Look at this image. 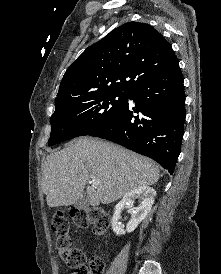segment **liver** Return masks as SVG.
Wrapping results in <instances>:
<instances>
[{
	"label": "liver",
	"mask_w": 221,
	"mask_h": 274,
	"mask_svg": "<svg viewBox=\"0 0 221 274\" xmlns=\"http://www.w3.org/2000/svg\"><path fill=\"white\" fill-rule=\"evenodd\" d=\"M158 165L149 158L96 138L83 137L51 153L43 166L42 189L49 207L75 204L87 186L92 206L109 204L141 186L154 185Z\"/></svg>",
	"instance_id": "obj_1"
}]
</instances>
